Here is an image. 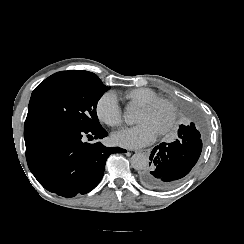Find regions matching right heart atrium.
Instances as JSON below:
<instances>
[{"instance_id": "right-heart-atrium-1", "label": "right heart atrium", "mask_w": 244, "mask_h": 244, "mask_svg": "<svg viewBox=\"0 0 244 244\" xmlns=\"http://www.w3.org/2000/svg\"><path fill=\"white\" fill-rule=\"evenodd\" d=\"M95 112L98 119L109 126H120L123 122V111L111 92H105L97 99Z\"/></svg>"}]
</instances>
